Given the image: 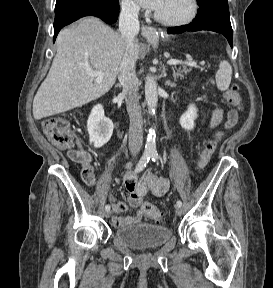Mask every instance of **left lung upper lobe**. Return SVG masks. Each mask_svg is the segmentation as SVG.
I'll list each match as a JSON object with an SVG mask.
<instances>
[{
    "label": "left lung upper lobe",
    "instance_id": "obj_1",
    "mask_svg": "<svg viewBox=\"0 0 273 288\" xmlns=\"http://www.w3.org/2000/svg\"><path fill=\"white\" fill-rule=\"evenodd\" d=\"M215 1H220V0H197L199 7L204 4L215 2Z\"/></svg>",
    "mask_w": 273,
    "mask_h": 288
}]
</instances>
